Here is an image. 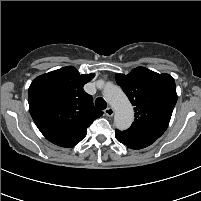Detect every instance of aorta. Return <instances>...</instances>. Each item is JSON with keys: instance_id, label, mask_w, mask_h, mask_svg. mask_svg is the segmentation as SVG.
Here are the masks:
<instances>
[{"instance_id": "1", "label": "aorta", "mask_w": 201, "mask_h": 201, "mask_svg": "<svg viewBox=\"0 0 201 201\" xmlns=\"http://www.w3.org/2000/svg\"><path fill=\"white\" fill-rule=\"evenodd\" d=\"M103 95L115 111L114 123L116 128L119 130L128 129L133 122L134 112L125 93L119 86L110 85L105 88Z\"/></svg>"}]
</instances>
